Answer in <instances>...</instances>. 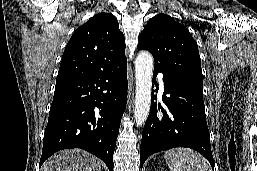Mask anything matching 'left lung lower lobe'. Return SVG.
Listing matches in <instances>:
<instances>
[{
  "label": "left lung lower lobe",
  "instance_id": "0a47b994",
  "mask_svg": "<svg viewBox=\"0 0 257 171\" xmlns=\"http://www.w3.org/2000/svg\"><path fill=\"white\" fill-rule=\"evenodd\" d=\"M164 74V107L154 102L145 123L141 147L140 167L152 154L174 147H188L201 153L214 169V159L210 146V134L206 123L203 101V87L186 77L154 66L153 81L156 75Z\"/></svg>",
  "mask_w": 257,
  "mask_h": 171
}]
</instances>
